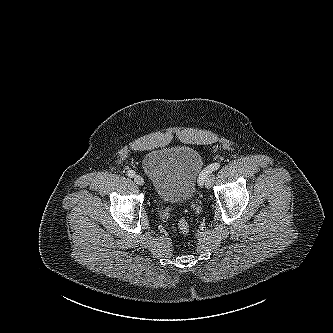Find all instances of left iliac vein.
Returning a JSON list of instances; mask_svg holds the SVG:
<instances>
[{"instance_id":"left-iliac-vein-1","label":"left iliac vein","mask_w":333,"mask_h":333,"mask_svg":"<svg viewBox=\"0 0 333 333\" xmlns=\"http://www.w3.org/2000/svg\"><path fill=\"white\" fill-rule=\"evenodd\" d=\"M214 179H215L214 174L212 172H210L205 178V186L207 188H211L213 185Z\"/></svg>"}]
</instances>
